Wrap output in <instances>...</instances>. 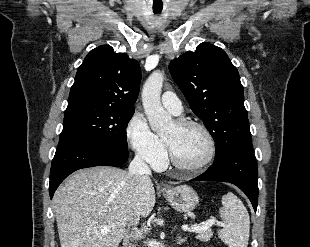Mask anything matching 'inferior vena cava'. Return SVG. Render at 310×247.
I'll list each match as a JSON object with an SVG mask.
<instances>
[{"label":"inferior vena cava","mask_w":310,"mask_h":247,"mask_svg":"<svg viewBox=\"0 0 310 247\" xmlns=\"http://www.w3.org/2000/svg\"><path fill=\"white\" fill-rule=\"evenodd\" d=\"M151 174V170L149 166L146 164L144 156L142 153H137L134 157V159L131 161L129 165V172L128 175L130 177H134L135 179L140 178L142 175L148 176ZM139 222V216L136 217L134 220L135 225ZM133 232L126 235V244H128V247H135L133 242Z\"/></svg>","instance_id":"1"}]
</instances>
